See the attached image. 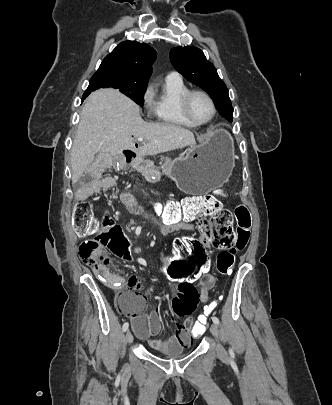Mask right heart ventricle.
<instances>
[{
  "label": "right heart ventricle",
  "instance_id": "obj_1",
  "mask_svg": "<svg viewBox=\"0 0 332 405\" xmlns=\"http://www.w3.org/2000/svg\"><path fill=\"white\" fill-rule=\"evenodd\" d=\"M188 91L181 79L166 78L157 92H152V117L163 124L182 127H195L181 113L180 99Z\"/></svg>",
  "mask_w": 332,
  "mask_h": 405
}]
</instances>
